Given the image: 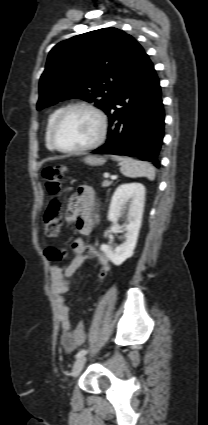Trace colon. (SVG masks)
Returning <instances> with one entry per match:
<instances>
[{
	"label": "colon",
	"instance_id": "colon-1",
	"mask_svg": "<svg viewBox=\"0 0 208 425\" xmlns=\"http://www.w3.org/2000/svg\"><path fill=\"white\" fill-rule=\"evenodd\" d=\"M65 173L66 168L61 165L47 167L42 172L47 191L55 197L50 202L44 215V230L48 237L57 236L62 225L61 202L56 196L61 191ZM45 254L52 263H60L66 253L65 251L51 247L46 249ZM108 273V266L100 267L97 276L98 281L105 280Z\"/></svg>",
	"mask_w": 208,
	"mask_h": 425
}]
</instances>
